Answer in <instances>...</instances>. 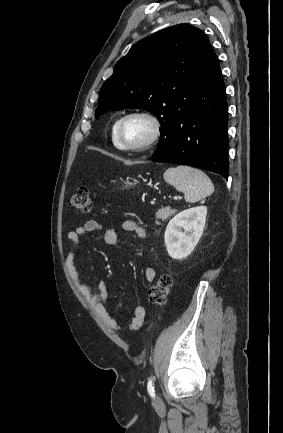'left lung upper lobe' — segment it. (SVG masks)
<instances>
[{"label":"left lung upper lobe","mask_w":283,"mask_h":433,"mask_svg":"<svg viewBox=\"0 0 283 433\" xmlns=\"http://www.w3.org/2000/svg\"><path fill=\"white\" fill-rule=\"evenodd\" d=\"M211 53L206 35L185 23L143 38L103 84L96 118L110 110L143 108L166 127L193 107L195 80Z\"/></svg>","instance_id":"left-lung-upper-lobe-1"}]
</instances>
